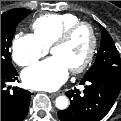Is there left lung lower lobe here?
I'll list each match as a JSON object with an SVG mask.
<instances>
[{
    "label": "left lung lower lobe",
    "instance_id": "1",
    "mask_svg": "<svg viewBox=\"0 0 121 121\" xmlns=\"http://www.w3.org/2000/svg\"><path fill=\"white\" fill-rule=\"evenodd\" d=\"M84 94L77 89L65 94L70 106L58 112L61 121H100L112 108L121 88V74L92 73L81 80Z\"/></svg>",
    "mask_w": 121,
    "mask_h": 121
}]
</instances>
